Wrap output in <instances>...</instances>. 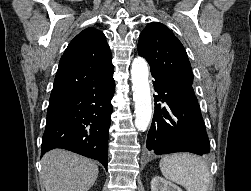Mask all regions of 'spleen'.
Here are the masks:
<instances>
[{
  "mask_svg": "<svg viewBox=\"0 0 251 191\" xmlns=\"http://www.w3.org/2000/svg\"><path fill=\"white\" fill-rule=\"evenodd\" d=\"M160 169L167 179L183 185L187 191H208L209 167L193 153H172L160 159Z\"/></svg>",
  "mask_w": 251,
  "mask_h": 191,
  "instance_id": "3e777b00",
  "label": "spleen"
}]
</instances>
